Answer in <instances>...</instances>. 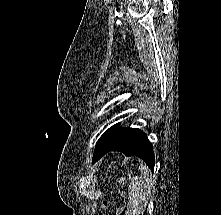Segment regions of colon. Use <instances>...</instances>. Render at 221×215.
<instances>
[{
    "mask_svg": "<svg viewBox=\"0 0 221 215\" xmlns=\"http://www.w3.org/2000/svg\"><path fill=\"white\" fill-rule=\"evenodd\" d=\"M116 215H127V211L124 207H120L117 209Z\"/></svg>",
    "mask_w": 221,
    "mask_h": 215,
    "instance_id": "5ec220e1",
    "label": "colon"
}]
</instances>
